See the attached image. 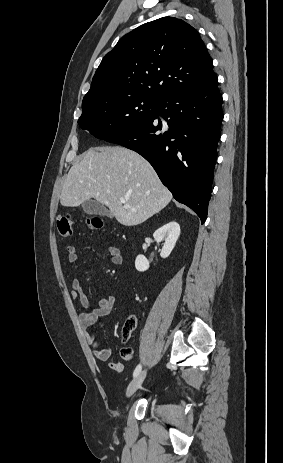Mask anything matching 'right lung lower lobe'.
I'll use <instances>...</instances> for the list:
<instances>
[{
    "instance_id": "1",
    "label": "right lung lower lobe",
    "mask_w": 283,
    "mask_h": 463,
    "mask_svg": "<svg viewBox=\"0 0 283 463\" xmlns=\"http://www.w3.org/2000/svg\"><path fill=\"white\" fill-rule=\"evenodd\" d=\"M221 104L217 78L164 97L149 119L107 140L142 155L173 197L192 208L202 224L212 191Z\"/></svg>"
}]
</instances>
